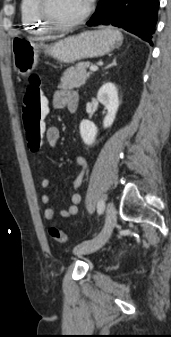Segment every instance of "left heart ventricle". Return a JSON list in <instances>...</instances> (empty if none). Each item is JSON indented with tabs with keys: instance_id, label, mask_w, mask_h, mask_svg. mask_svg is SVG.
<instances>
[{
	"instance_id": "b2bd125f",
	"label": "left heart ventricle",
	"mask_w": 171,
	"mask_h": 337,
	"mask_svg": "<svg viewBox=\"0 0 171 337\" xmlns=\"http://www.w3.org/2000/svg\"><path fill=\"white\" fill-rule=\"evenodd\" d=\"M86 0H51L53 16L61 21L75 19L87 8Z\"/></svg>"
}]
</instances>
